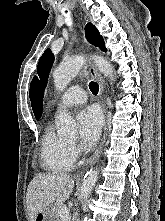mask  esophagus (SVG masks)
<instances>
[{"label": "esophagus", "mask_w": 165, "mask_h": 221, "mask_svg": "<svg viewBox=\"0 0 165 221\" xmlns=\"http://www.w3.org/2000/svg\"><path fill=\"white\" fill-rule=\"evenodd\" d=\"M89 71H90L91 76L98 82L99 87H100V98H101L102 108L105 113L106 124L104 128V134L101 140V144L99 148L95 151V153L87 160L85 166L90 165L94 160H96L99 157V155L102 152V148L105 143L106 136H107V106H106V95H105V89H106L105 81L103 77L101 76L100 72L98 71L97 67L93 63H90Z\"/></svg>", "instance_id": "esophagus-1"}]
</instances>
